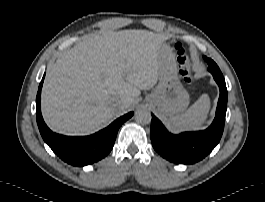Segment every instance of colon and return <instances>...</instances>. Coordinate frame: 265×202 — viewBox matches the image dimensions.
<instances>
[{"instance_id":"5ec220e1","label":"colon","mask_w":265,"mask_h":202,"mask_svg":"<svg viewBox=\"0 0 265 202\" xmlns=\"http://www.w3.org/2000/svg\"><path fill=\"white\" fill-rule=\"evenodd\" d=\"M177 50L179 52V66H180V70L182 71V73L184 75H188L189 68H190L189 56H188V54L186 53V51L183 49V47L181 45L177 46Z\"/></svg>"}]
</instances>
